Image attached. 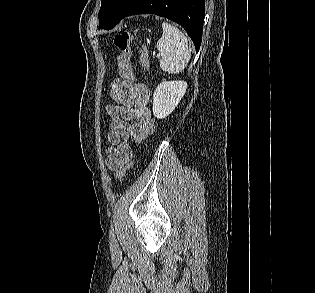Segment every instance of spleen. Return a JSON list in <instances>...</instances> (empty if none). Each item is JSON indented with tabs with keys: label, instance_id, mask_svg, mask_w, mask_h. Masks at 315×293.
I'll use <instances>...</instances> for the list:
<instances>
[{
	"label": "spleen",
	"instance_id": "spleen-1",
	"mask_svg": "<svg viewBox=\"0 0 315 293\" xmlns=\"http://www.w3.org/2000/svg\"><path fill=\"white\" fill-rule=\"evenodd\" d=\"M163 35L157 42L161 53L160 68L168 73L181 72L191 58V42L175 26L163 22Z\"/></svg>",
	"mask_w": 315,
	"mask_h": 293
}]
</instances>
